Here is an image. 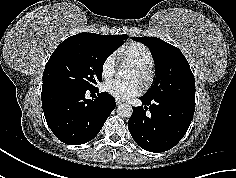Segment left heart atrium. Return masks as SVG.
<instances>
[{"instance_id": "left-heart-atrium-1", "label": "left heart atrium", "mask_w": 236, "mask_h": 178, "mask_svg": "<svg viewBox=\"0 0 236 178\" xmlns=\"http://www.w3.org/2000/svg\"><path fill=\"white\" fill-rule=\"evenodd\" d=\"M103 90L118 100H128L141 91V84L137 79L129 81L111 80L103 85Z\"/></svg>"}]
</instances>
